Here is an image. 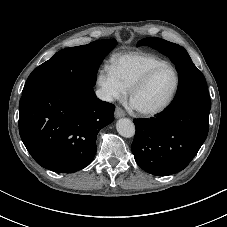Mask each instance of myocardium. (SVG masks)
<instances>
[{"instance_id": "obj_1", "label": "myocardium", "mask_w": 227, "mask_h": 227, "mask_svg": "<svg viewBox=\"0 0 227 227\" xmlns=\"http://www.w3.org/2000/svg\"><path fill=\"white\" fill-rule=\"evenodd\" d=\"M165 68H170L171 70H173L174 74H175V86L173 88V91L171 92L170 96L168 97V99L159 107L154 108V109H140L137 108L136 106H134L133 104V98L135 96V94L141 90L144 86H146V84L151 80V78L158 73L159 71L165 69ZM180 74L177 70V68L175 66H173L170 63H166V64H162L159 66H156L152 69H150L148 72H146L141 78H139L129 89V94H128V98H129V103L132 106V108L140 115L145 116V117H153L156 115H159L161 113H163L164 111H166L171 104L173 103V101L175 100V97L179 91L180 88Z\"/></svg>"}]
</instances>
